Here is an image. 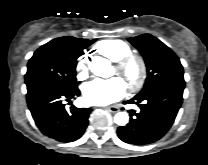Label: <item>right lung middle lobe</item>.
<instances>
[{"instance_id": "right-lung-middle-lobe-1", "label": "right lung middle lobe", "mask_w": 208, "mask_h": 165, "mask_svg": "<svg viewBox=\"0 0 208 165\" xmlns=\"http://www.w3.org/2000/svg\"><path fill=\"white\" fill-rule=\"evenodd\" d=\"M96 40L60 37L41 46L30 58L25 83L27 94L44 86L70 90L76 88V65L83 49Z\"/></svg>"}]
</instances>
